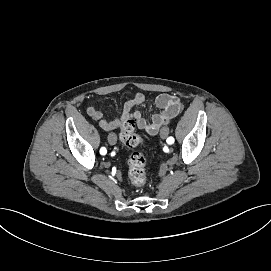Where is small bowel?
I'll return each mask as SVG.
<instances>
[{"label": "small bowel", "mask_w": 271, "mask_h": 271, "mask_svg": "<svg viewBox=\"0 0 271 271\" xmlns=\"http://www.w3.org/2000/svg\"><path fill=\"white\" fill-rule=\"evenodd\" d=\"M145 100L142 93H137L132 99L125 102L121 115L116 119L104 118L103 113L94 106L87 107L86 112L90 118L98 121L100 127L106 132L120 129L126 121L132 120L138 128L149 134H156L163 125L170 123L181 111V102L178 97L160 94L152 101L158 111L153 113L148 120L140 111L135 110V107L143 104Z\"/></svg>", "instance_id": "small-bowel-1"}]
</instances>
